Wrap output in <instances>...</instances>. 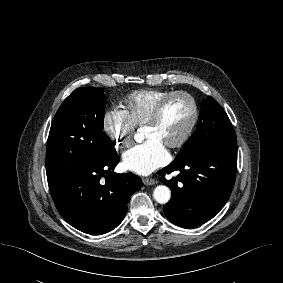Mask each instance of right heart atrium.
Returning <instances> with one entry per match:
<instances>
[{"label": "right heart atrium", "mask_w": 283, "mask_h": 283, "mask_svg": "<svg viewBox=\"0 0 283 283\" xmlns=\"http://www.w3.org/2000/svg\"><path fill=\"white\" fill-rule=\"evenodd\" d=\"M103 130L118 149L129 148L134 139L135 125L128 114L119 108H111L103 116Z\"/></svg>", "instance_id": "right-heart-atrium-1"}]
</instances>
